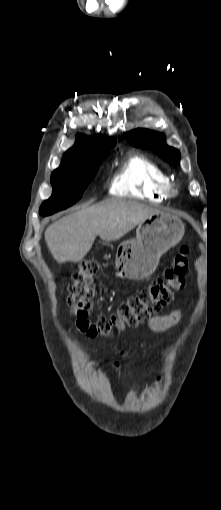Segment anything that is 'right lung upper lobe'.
I'll list each match as a JSON object with an SVG mask.
<instances>
[{"label":"right lung upper lobe","mask_w":221,"mask_h":510,"mask_svg":"<svg viewBox=\"0 0 221 510\" xmlns=\"http://www.w3.org/2000/svg\"><path fill=\"white\" fill-rule=\"evenodd\" d=\"M115 143L114 138L104 140L100 135L93 138L78 135L76 144L64 154L62 163H78L90 157L104 155Z\"/></svg>","instance_id":"obj_1"}]
</instances>
